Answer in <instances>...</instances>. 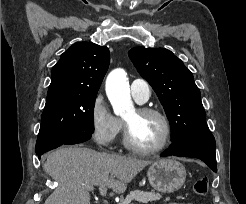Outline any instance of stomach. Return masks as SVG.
Returning a JSON list of instances; mask_svg holds the SVG:
<instances>
[{"mask_svg": "<svg viewBox=\"0 0 246 204\" xmlns=\"http://www.w3.org/2000/svg\"><path fill=\"white\" fill-rule=\"evenodd\" d=\"M147 176L154 190L172 193L185 183L186 169L174 159H161L151 164Z\"/></svg>", "mask_w": 246, "mask_h": 204, "instance_id": "1", "label": "stomach"}]
</instances>
